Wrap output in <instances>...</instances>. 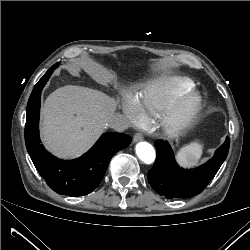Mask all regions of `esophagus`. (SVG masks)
Instances as JSON below:
<instances>
[{
	"instance_id": "1",
	"label": "esophagus",
	"mask_w": 250,
	"mask_h": 250,
	"mask_svg": "<svg viewBox=\"0 0 250 250\" xmlns=\"http://www.w3.org/2000/svg\"><path fill=\"white\" fill-rule=\"evenodd\" d=\"M143 140V135L141 133H136L133 137V142L136 143V142H139V141H142Z\"/></svg>"
}]
</instances>
